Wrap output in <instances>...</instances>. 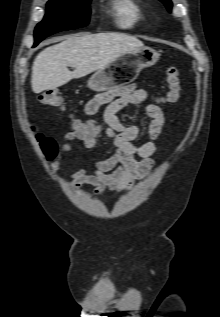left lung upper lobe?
I'll use <instances>...</instances> for the list:
<instances>
[{
	"mask_svg": "<svg viewBox=\"0 0 220 317\" xmlns=\"http://www.w3.org/2000/svg\"><path fill=\"white\" fill-rule=\"evenodd\" d=\"M160 1L166 5L168 10H171L172 2L170 0H160Z\"/></svg>",
	"mask_w": 220,
	"mask_h": 317,
	"instance_id": "1",
	"label": "left lung upper lobe"
}]
</instances>
